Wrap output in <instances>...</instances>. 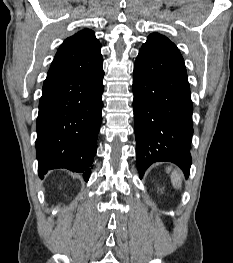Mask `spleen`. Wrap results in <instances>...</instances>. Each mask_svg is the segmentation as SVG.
I'll list each match as a JSON object with an SVG mask.
<instances>
[{
  "instance_id": "3e777b00",
  "label": "spleen",
  "mask_w": 233,
  "mask_h": 263,
  "mask_svg": "<svg viewBox=\"0 0 233 263\" xmlns=\"http://www.w3.org/2000/svg\"><path fill=\"white\" fill-rule=\"evenodd\" d=\"M171 171V168H167V172H170ZM171 182L173 184V186L175 188H180L181 187V182H182V179H181V175L180 173L177 171V170H174L172 173H171Z\"/></svg>"
}]
</instances>
